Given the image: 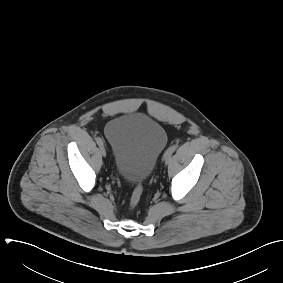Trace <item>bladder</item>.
<instances>
[{
    "label": "bladder",
    "instance_id": "31cf9c89",
    "mask_svg": "<svg viewBox=\"0 0 283 283\" xmlns=\"http://www.w3.org/2000/svg\"><path fill=\"white\" fill-rule=\"evenodd\" d=\"M116 171L128 182L144 181L164 151L168 137L161 124L141 113L112 119L105 127Z\"/></svg>",
    "mask_w": 283,
    "mask_h": 283
}]
</instances>
